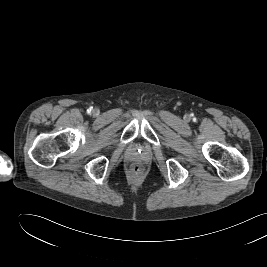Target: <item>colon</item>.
<instances>
[{"label": "colon", "mask_w": 267, "mask_h": 267, "mask_svg": "<svg viewBox=\"0 0 267 267\" xmlns=\"http://www.w3.org/2000/svg\"><path fill=\"white\" fill-rule=\"evenodd\" d=\"M132 172L136 175L141 174L143 172V166L140 164L133 165Z\"/></svg>", "instance_id": "obj_1"}]
</instances>
